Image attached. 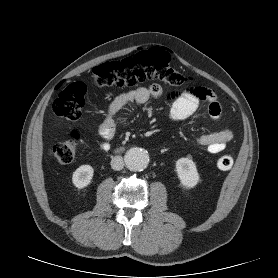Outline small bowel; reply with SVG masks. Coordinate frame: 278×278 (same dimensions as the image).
<instances>
[{"label":"small bowel","instance_id":"1","mask_svg":"<svg viewBox=\"0 0 278 278\" xmlns=\"http://www.w3.org/2000/svg\"><path fill=\"white\" fill-rule=\"evenodd\" d=\"M162 93L163 90L159 84H152L149 87H138L118 95L110 104L106 118L100 126L99 147L104 150L109 149L110 141L115 135V119L117 116L126 112L130 105L144 104L151 97H160ZM201 101L208 103V113L211 119L222 120V107L216 95L205 87L186 89L177 95L171 106V119L179 122L189 118L196 112ZM232 138L233 132L229 128H224L217 132L199 136L196 138V143L206 147L210 153L216 154L223 151Z\"/></svg>","mask_w":278,"mask_h":278}]
</instances>
